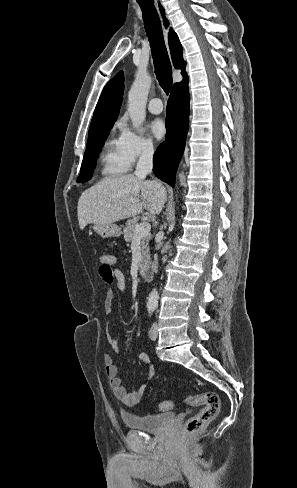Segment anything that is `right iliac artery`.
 Here are the masks:
<instances>
[{
    "label": "right iliac artery",
    "mask_w": 297,
    "mask_h": 488,
    "mask_svg": "<svg viewBox=\"0 0 297 488\" xmlns=\"http://www.w3.org/2000/svg\"><path fill=\"white\" fill-rule=\"evenodd\" d=\"M153 310H154V308H153V307H149V308H148V311H149V313H150V314L153 312Z\"/></svg>",
    "instance_id": "obj_1"
}]
</instances>
